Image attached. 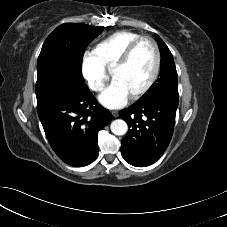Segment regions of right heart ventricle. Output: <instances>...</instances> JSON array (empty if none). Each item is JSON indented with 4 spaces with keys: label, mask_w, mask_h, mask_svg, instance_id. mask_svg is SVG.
<instances>
[{
    "label": "right heart ventricle",
    "mask_w": 227,
    "mask_h": 227,
    "mask_svg": "<svg viewBox=\"0 0 227 227\" xmlns=\"http://www.w3.org/2000/svg\"><path fill=\"white\" fill-rule=\"evenodd\" d=\"M139 37H141L140 34L132 31L114 32L96 45L95 54L105 68H112L129 44Z\"/></svg>",
    "instance_id": "1"
}]
</instances>
